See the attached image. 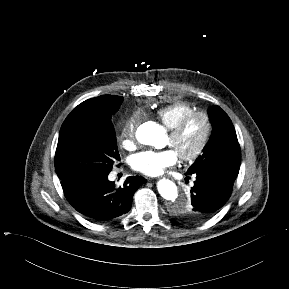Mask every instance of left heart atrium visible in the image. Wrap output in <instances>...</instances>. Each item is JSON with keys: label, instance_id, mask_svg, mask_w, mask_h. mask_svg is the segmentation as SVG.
<instances>
[{"label": "left heart atrium", "instance_id": "obj_1", "mask_svg": "<svg viewBox=\"0 0 289 289\" xmlns=\"http://www.w3.org/2000/svg\"><path fill=\"white\" fill-rule=\"evenodd\" d=\"M178 154L173 148L146 150L131 157V167L144 175L157 176L166 168L176 164Z\"/></svg>", "mask_w": 289, "mask_h": 289}]
</instances>
